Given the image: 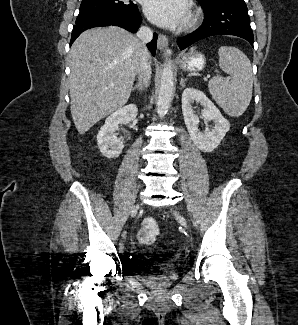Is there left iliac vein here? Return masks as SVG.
I'll use <instances>...</instances> for the list:
<instances>
[{
    "instance_id": "obj_1",
    "label": "left iliac vein",
    "mask_w": 298,
    "mask_h": 325,
    "mask_svg": "<svg viewBox=\"0 0 298 325\" xmlns=\"http://www.w3.org/2000/svg\"><path fill=\"white\" fill-rule=\"evenodd\" d=\"M175 217L177 218V220L179 221V223L184 227L187 228V221L186 219L180 215L178 212H174Z\"/></svg>"
}]
</instances>
